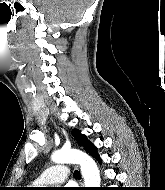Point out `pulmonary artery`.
<instances>
[{"label": "pulmonary artery", "mask_w": 165, "mask_h": 190, "mask_svg": "<svg viewBox=\"0 0 165 190\" xmlns=\"http://www.w3.org/2000/svg\"><path fill=\"white\" fill-rule=\"evenodd\" d=\"M70 174L66 164H56L44 170L35 180V184H58L64 182Z\"/></svg>", "instance_id": "pulmonary-artery-1"}]
</instances>
